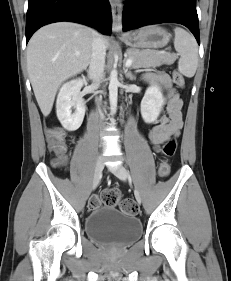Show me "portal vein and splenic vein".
Here are the masks:
<instances>
[{
	"mask_svg": "<svg viewBox=\"0 0 231 281\" xmlns=\"http://www.w3.org/2000/svg\"><path fill=\"white\" fill-rule=\"evenodd\" d=\"M133 63V60L132 59H127L126 62H125V66L126 67H130Z\"/></svg>",
	"mask_w": 231,
	"mask_h": 281,
	"instance_id": "obj_1",
	"label": "portal vein and splenic vein"
}]
</instances>
